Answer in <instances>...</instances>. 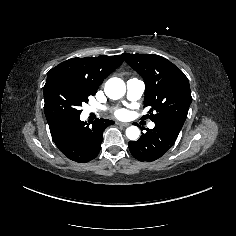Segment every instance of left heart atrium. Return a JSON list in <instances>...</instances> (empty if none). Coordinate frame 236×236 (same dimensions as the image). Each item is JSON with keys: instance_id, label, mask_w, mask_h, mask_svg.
Masks as SVG:
<instances>
[{"instance_id": "1", "label": "left heart atrium", "mask_w": 236, "mask_h": 236, "mask_svg": "<svg viewBox=\"0 0 236 236\" xmlns=\"http://www.w3.org/2000/svg\"><path fill=\"white\" fill-rule=\"evenodd\" d=\"M113 113L117 117H122V116H124L126 114V111L124 109H122V108H115L113 110Z\"/></svg>"}]
</instances>
